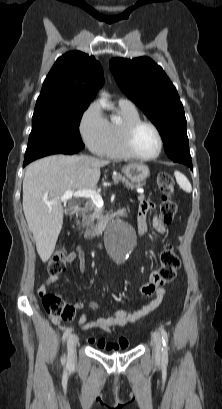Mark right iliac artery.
Instances as JSON below:
<instances>
[{
  "label": "right iliac artery",
  "instance_id": "right-iliac-artery-1",
  "mask_svg": "<svg viewBox=\"0 0 222 409\" xmlns=\"http://www.w3.org/2000/svg\"><path fill=\"white\" fill-rule=\"evenodd\" d=\"M72 332L71 328H68L63 334V341L68 337V335ZM62 361L65 362V356L62 357Z\"/></svg>",
  "mask_w": 222,
  "mask_h": 409
}]
</instances>
